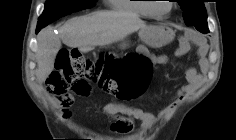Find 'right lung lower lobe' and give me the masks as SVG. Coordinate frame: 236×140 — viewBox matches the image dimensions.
Masks as SVG:
<instances>
[{"label": "right lung lower lobe", "mask_w": 236, "mask_h": 140, "mask_svg": "<svg viewBox=\"0 0 236 140\" xmlns=\"http://www.w3.org/2000/svg\"><path fill=\"white\" fill-rule=\"evenodd\" d=\"M40 30H41V28H37V29H36V33H38Z\"/></svg>", "instance_id": "obj_1"}]
</instances>
